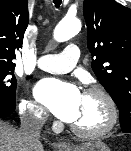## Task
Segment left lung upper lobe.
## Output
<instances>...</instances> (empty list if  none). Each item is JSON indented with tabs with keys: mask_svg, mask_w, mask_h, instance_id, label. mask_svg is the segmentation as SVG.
<instances>
[{
	"mask_svg": "<svg viewBox=\"0 0 131 151\" xmlns=\"http://www.w3.org/2000/svg\"><path fill=\"white\" fill-rule=\"evenodd\" d=\"M92 69L120 110L122 131L131 129V9L115 0H84Z\"/></svg>",
	"mask_w": 131,
	"mask_h": 151,
	"instance_id": "1",
	"label": "left lung upper lobe"
}]
</instances>
